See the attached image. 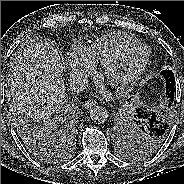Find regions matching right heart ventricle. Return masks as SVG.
<instances>
[{"label": "right heart ventricle", "instance_id": "obj_1", "mask_svg": "<svg viewBox=\"0 0 184 184\" xmlns=\"http://www.w3.org/2000/svg\"><path fill=\"white\" fill-rule=\"evenodd\" d=\"M137 41L124 33H111L97 39L91 47L86 50L88 57L97 65L104 64L124 47Z\"/></svg>", "mask_w": 184, "mask_h": 184}]
</instances>
